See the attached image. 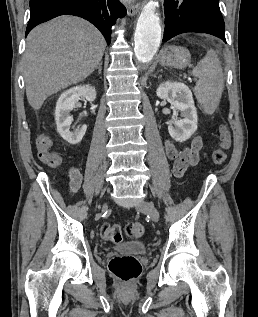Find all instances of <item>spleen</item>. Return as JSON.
I'll use <instances>...</instances> for the list:
<instances>
[{
	"label": "spleen",
	"mask_w": 258,
	"mask_h": 317,
	"mask_svg": "<svg viewBox=\"0 0 258 317\" xmlns=\"http://www.w3.org/2000/svg\"><path fill=\"white\" fill-rule=\"evenodd\" d=\"M191 74L198 78L194 94L207 114L217 108L224 88V78L215 50H207L206 56L194 66Z\"/></svg>",
	"instance_id": "spleen-1"
}]
</instances>
